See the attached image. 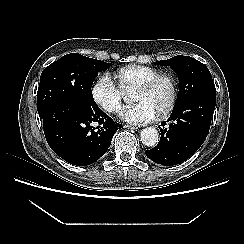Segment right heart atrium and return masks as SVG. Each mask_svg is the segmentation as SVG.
Returning a JSON list of instances; mask_svg holds the SVG:
<instances>
[{
    "label": "right heart atrium",
    "instance_id": "obj_1",
    "mask_svg": "<svg viewBox=\"0 0 244 244\" xmlns=\"http://www.w3.org/2000/svg\"><path fill=\"white\" fill-rule=\"evenodd\" d=\"M94 102L108 113H118L123 106V94L107 75L100 76L91 88Z\"/></svg>",
    "mask_w": 244,
    "mask_h": 244
}]
</instances>
